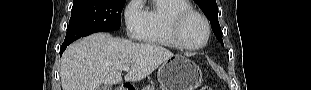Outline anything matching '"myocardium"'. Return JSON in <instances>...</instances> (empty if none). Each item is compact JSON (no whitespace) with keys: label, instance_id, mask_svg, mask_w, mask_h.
Returning a JSON list of instances; mask_svg holds the SVG:
<instances>
[{"label":"myocardium","instance_id":"myocardium-1","mask_svg":"<svg viewBox=\"0 0 311 90\" xmlns=\"http://www.w3.org/2000/svg\"><path fill=\"white\" fill-rule=\"evenodd\" d=\"M193 16L200 18L205 26V32H206L205 38L203 42L198 45H192L188 43L184 39L183 34H182V28L185 22ZM171 31H172L173 38L176 41L177 45L180 48L186 49V50H200L204 48L209 42V39L211 36V28H210L208 19L206 18L205 15H203L202 13L194 9L184 10L176 14L171 23Z\"/></svg>","mask_w":311,"mask_h":90}]
</instances>
